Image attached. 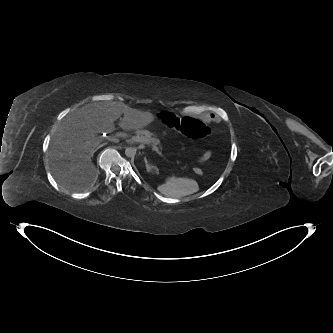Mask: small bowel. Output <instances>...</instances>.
I'll use <instances>...</instances> for the list:
<instances>
[{
  "instance_id": "obj_1",
  "label": "small bowel",
  "mask_w": 333,
  "mask_h": 333,
  "mask_svg": "<svg viewBox=\"0 0 333 333\" xmlns=\"http://www.w3.org/2000/svg\"><path fill=\"white\" fill-rule=\"evenodd\" d=\"M211 157V152L210 151H205L199 158L198 161L200 163L206 162L209 158Z\"/></svg>"
}]
</instances>
